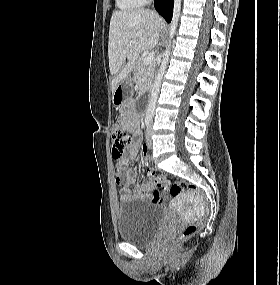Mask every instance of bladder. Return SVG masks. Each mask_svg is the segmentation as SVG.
<instances>
[{
	"label": "bladder",
	"instance_id": "1",
	"mask_svg": "<svg viewBox=\"0 0 280 285\" xmlns=\"http://www.w3.org/2000/svg\"><path fill=\"white\" fill-rule=\"evenodd\" d=\"M163 212L143 200L124 201L119 205L117 229L121 239L137 245L149 244L158 234Z\"/></svg>",
	"mask_w": 280,
	"mask_h": 285
}]
</instances>
